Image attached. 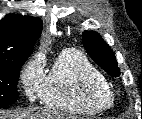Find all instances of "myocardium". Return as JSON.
<instances>
[{
    "label": "myocardium",
    "instance_id": "1",
    "mask_svg": "<svg viewBox=\"0 0 142 119\" xmlns=\"http://www.w3.org/2000/svg\"><path fill=\"white\" fill-rule=\"evenodd\" d=\"M94 97L102 109H107L114 103V95L109 89L98 90Z\"/></svg>",
    "mask_w": 142,
    "mask_h": 119
}]
</instances>
